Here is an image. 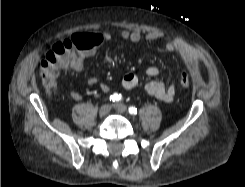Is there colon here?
<instances>
[{
    "label": "colon",
    "instance_id": "obj_1",
    "mask_svg": "<svg viewBox=\"0 0 245 187\" xmlns=\"http://www.w3.org/2000/svg\"><path fill=\"white\" fill-rule=\"evenodd\" d=\"M82 41L77 36L58 42L42 62L41 75L43 84L48 91L56 87L58 68L61 62L65 61L68 55L75 49H81ZM180 84L183 89L191 86V78L188 73L183 72L180 77Z\"/></svg>",
    "mask_w": 245,
    "mask_h": 187
}]
</instances>
